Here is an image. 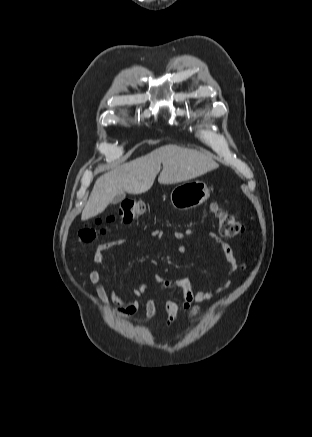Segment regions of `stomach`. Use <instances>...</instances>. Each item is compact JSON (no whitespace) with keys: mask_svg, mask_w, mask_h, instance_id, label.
Returning <instances> with one entry per match:
<instances>
[{"mask_svg":"<svg viewBox=\"0 0 312 437\" xmlns=\"http://www.w3.org/2000/svg\"><path fill=\"white\" fill-rule=\"evenodd\" d=\"M210 196L207 185L202 181H187L176 186L171 194L172 206L185 211L203 204Z\"/></svg>","mask_w":312,"mask_h":437,"instance_id":"0dacf381","label":"stomach"}]
</instances>
